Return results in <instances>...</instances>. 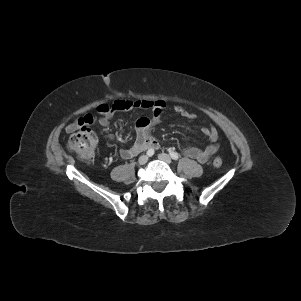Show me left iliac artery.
Listing matches in <instances>:
<instances>
[{
    "label": "left iliac artery",
    "mask_w": 301,
    "mask_h": 301,
    "mask_svg": "<svg viewBox=\"0 0 301 301\" xmlns=\"http://www.w3.org/2000/svg\"><path fill=\"white\" fill-rule=\"evenodd\" d=\"M170 156L173 160H178L179 159V154L175 151H171Z\"/></svg>",
    "instance_id": "obj_1"
}]
</instances>
